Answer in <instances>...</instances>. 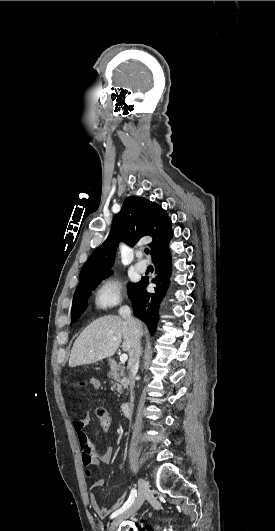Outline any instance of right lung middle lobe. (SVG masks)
<instances>
[{"instance_id": "obj_1", "label": "right lung middle lobe", "mask_w": 275, "mask_h": 531, "mask_svg": "<svg viewBox=\"0 0 275 531\" xmlns=\"http://www.w3.org/2000/svg\"><path fill=\"white\" fill-rule=\"evenodd\" d=\"M111 274L112 272L90 279L85 282L80 288L76 289L72 303L71 323L75 322L85 310L90 291L93 290L103 279L107 278ZM132 285L133 284H129L128 289H130Z\"/></svg>"}]
</instances>
